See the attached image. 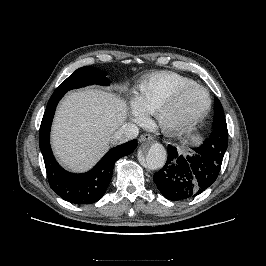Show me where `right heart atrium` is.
I'll use <instances>...</instances> for the list:
<instances>
[{
  "mask_svg": "<svg viewBox=\"0 0 266 266\" xmlns=\"http://www.w3.org/2000/svg\"><path fill=\"white\" fill-rule=\"evenodd\" d=\"M131 118L134 122L138 124H145L147 122L146 115L141 112L136 106H134L132 109Z\"/></svg>",
  "mask_w": 266,
  "mask_h": 266,
  "instance_id": "d8ad5b80",
  "label": "right heart atrium"
}]
</instances>
